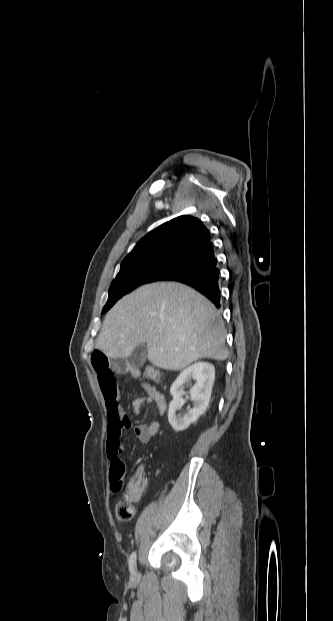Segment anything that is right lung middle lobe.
Returning a JSON list of instances; mask_svg holds the SVG:
<instances>
[{"label": "right lung middle lobe", "mask_w": 333, "mask_h": 621, "mask_svg": "<svg viewBox=\"0 0 333 621\" xmlns=\"http://www.w3.org/2000/svg\"><path fill=\"white\" fill-rule=\"evenodd\" d=\"M183 260L184 258L164 257L122 263L119 273L109 288L108 300L102 313L108 311L117 300L136 287L163 280L177 269Z\"/></svg>", "instance_id": "1"}]
</instances>
